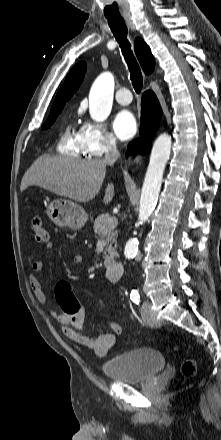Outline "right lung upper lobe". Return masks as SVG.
Listing matches in <instances>:
<instances>
[{
    "label": "right lung upper lobe",
    "instance_id": "cb5924a9",
    "mask_svg": "<svg viewBox=\"0 0 221 440\" xmlns=\"http://www.w3.org/2000/svg\"><path fill=\"white\" fill-rule=\"evenodd\" d=\"M135 52L138 60L146 74L151 73L154 70V57L148 45L139 37L135 39ZM86 72V63L81 61L77 63L69 72L62 87L60 88L57 96L54 100L52 108L65 105V103L73 96L77 91L80 84L83 81Z\"/></svg>",
    "mask_w": 221,
    "mask_h": 440
}]
</instances>
